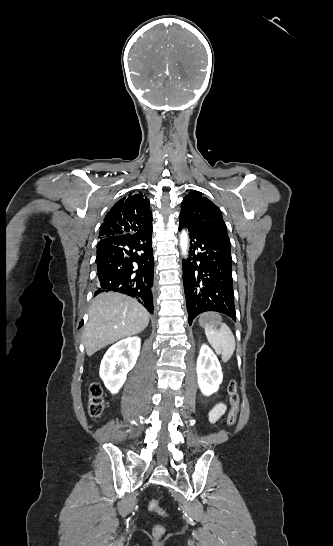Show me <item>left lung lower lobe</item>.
Listing matches in <instances>:
<instances>
[{"label":"left lung lower lobe","instance_id":"1","mask_svg":"<svg viewBox=\"0 0 333 546\" xmlns=\"http://www.w3.org/2000/svg\"><path fill=\"white\" fill-rule=\"evenodd\" d=\"M190 238L189 255L183 260V280L189 325L206 311L236 320L232 278L231 243L227 234L205 230L179 220V231Z\"/></svg>","mask_w":333,"mask_h":546}]
</instances>
